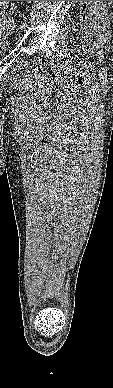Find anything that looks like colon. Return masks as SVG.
<instances>
[{
  "label": "colon",
  "instance_id": "obj_1",
  "mask_svg": "<svg viewBox=\"0 0 113 388\" xmlns=\"http://www.w3.org/2000/svg\"><path fill=\"white\" fill-rule=\"evenodd\" d=\"M5 3H3L2 1L0 2V6L2 7Z\"/></svg>",
  "mask_w": 113,
  "mask_h": 388
}]
</instances>
